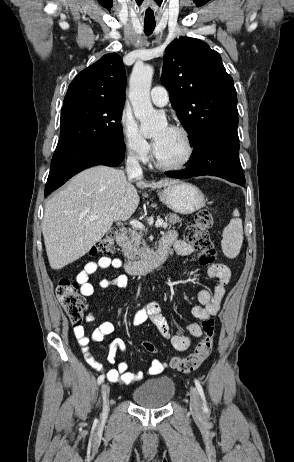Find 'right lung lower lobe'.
<instances>
[{"label": "right lung lower lobe", "mask_w": 294, "mask_h": 462, "mask_svg": "<svg viewBox=\"0 0 294 462\" xmlns=\"http://www.w3.org/2000/svg\"><path fill=\"white\" fill-rule=\"evenodd\" d=\"M125 143L97 140L71 143L55 150L44 196L63 185L78 172L96 165L117 166L124 160Z\"/></svg>", "instance_id": "obj_1"}]
</instances>
